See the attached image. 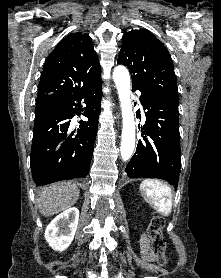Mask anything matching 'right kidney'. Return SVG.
<instances>
[{"instance_id": "ca27d5eb", "label": "right kidney", "mask_w": 221, "mask_h": 278, "mask_svg": "<svg viewBox=\"0 0 221 278\" xmlns=\"http://www.w3.org/2000/svg\"><path fill=\"white\" fill-rule=\"evenodd\" d=\"M79 220V210L72 207L56 216L47 226L45 239L56 251H64L74 239Z\"/></svg>"}]
</instances>
